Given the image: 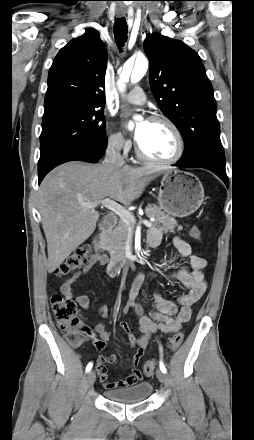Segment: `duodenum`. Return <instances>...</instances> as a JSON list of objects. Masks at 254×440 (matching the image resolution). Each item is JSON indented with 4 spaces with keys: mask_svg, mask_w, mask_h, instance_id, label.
<instances>
[{
    "mask_svg": "<svg viewBox=\"0 0 254 440\" xmlns=\"http://www.w3.org/2000/svg\"><path fill=\"white\" fill-rule=\"evenodd\" d=\"M117 224V218L115 215H107L99 227V233L93 239V246L97 252L103 251V235ZM132 263V260L128 256L115 257L108 265V273L111 276L117 275L121 270L127 268Z\"/></svg>",
    "mask_w": 254,
    "mask_h": 440,
    "instance_id": "1",
    "label": "duodenum"
}]
</instances>
